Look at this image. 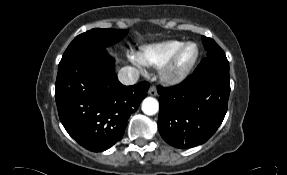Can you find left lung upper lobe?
I'll use <instances>...</instances> for the list:
<instances>
[{
	"instance_id": "left-lung-upper-lobe-1",
	"label": "left lung upper lobe",
	"mask_w": 287,
	"mask_h": 175,
	"mask_svg": "<svg viewBox=\"0 0 287 175\" xmlns=\"http://www.w3.org/2000/svg\"><path fill=\"white\" fill-rule=\"evenodd\" d=\"M207 58L203 59L194 71V75L220 73L229 76V62L224 51L211 38L202 37Z\"/></svg>"
}]
</instances>
